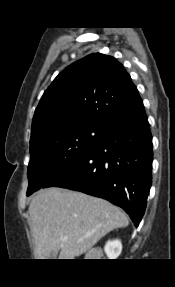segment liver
Wrapping results in <instances>:
<instances>
[{
  "mask_svg": "<svg viewBox=\"0 0 175 287\" xmlns=\"http://www.w3.org/2000/svg\"><path fill=\"white\" fill-rule=\"evenodd\" d=\"M29 214L37 259H74L108 232L129 224L126 214L108 201L55 187L33 197Z\"/></svg>",
  "mask_w": 175,
  "mask_h": 287,
  "instance_id": "1",
  "label": "liver"
}]
</instances>
